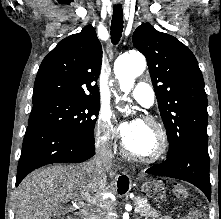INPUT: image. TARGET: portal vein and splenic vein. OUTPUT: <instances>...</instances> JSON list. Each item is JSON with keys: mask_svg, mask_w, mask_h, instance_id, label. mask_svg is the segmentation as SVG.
<instances>
[{"mask_svg": "<svg viewBox=\"0 0 221 219\" xmlns=\"http://www.w3.org/2000/svg\"><path fill=\"white\" fill-rule=\"evenodd\" d=\"M87 199H88V200H90L89 198H87ZM138 211H139V209H138V208H135V209H134V212H136V213H137Z\"/></svg>", "mask_w": 221, "mask_h": 219, "instance_id": "portal-vein-and-splenic-vein-1", "label": "portal vein and splenic vein"}]
</instances>
